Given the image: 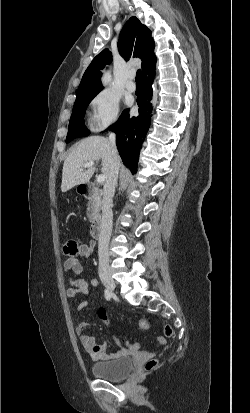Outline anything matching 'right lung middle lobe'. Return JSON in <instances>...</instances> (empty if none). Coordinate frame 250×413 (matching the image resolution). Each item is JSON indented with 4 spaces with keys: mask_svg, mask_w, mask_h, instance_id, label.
I'll use <instances>...</instances> for the list:
<instances>
[{
    "mask_svg": "<svg viewBox=\"0 0 250 413\" xmlns=\"http://www.w3.org/2000/svg\"><path fill=\"white\" fill-rule=\"evenodd\" d=\"M97 93L98 92H92L76 96V101L74 103L73 112L69 122L66 143H69L75 138L89 135V130L84 124V115L86 107Z\"/></svg>",
    "mask_w": 250,
    "mask_h": 413,
    "instance_id": "obj_1",
    "label": "right lung middle lobe"
}]
</instances>
